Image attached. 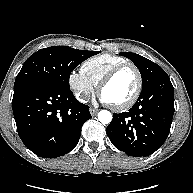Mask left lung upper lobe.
Returning a JSON list of instances; mask_svg holds the SVG:
<instances>
[{"label":"left lung upper lobe","instance_id":"5c2ea615","mask_svg":"<svg viewBox=\"0 0 193 193\" xmlns=\"http://www.w3.org/2000/svg\"><path fill=\"white\" fill-rule=\"evenodd\" d=\"M120 54L128 59H131L139 69L142 77V90L158 77L166 74L159 65L143 56L130 52H122Z\"/></svg>","mask_w":193,"mask_h":193}]
</instances>
